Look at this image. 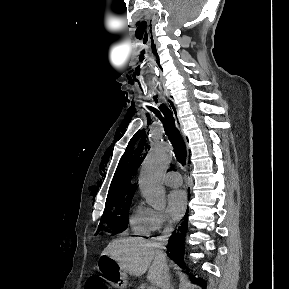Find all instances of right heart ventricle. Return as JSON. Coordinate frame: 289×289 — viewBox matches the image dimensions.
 I'll list each match as a JSON object with an SVG mask.
<instances>
[{"label":"right heart ventricle","instance_id":"obj_1","mask_svg":"<svg viewBox=\"0 0 289 289\" xmlns=\"http://www.w3.org/2000/svg\"><path fill=\"white\" fill-rule=\"evenodd\" d=\"M153 210L136 204L130 214V226L134 234L148 236L152 232Z\"/></svg>","mask_w":289,"mask_h":289}]
</instances>
